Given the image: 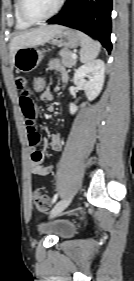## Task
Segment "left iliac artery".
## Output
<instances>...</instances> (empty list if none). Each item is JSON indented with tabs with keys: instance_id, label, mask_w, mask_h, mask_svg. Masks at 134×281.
Listing matches in <instances>:
<instances>
[{
	"instance_id": "left-iliac-artery-1",
	"label": "left iliac artery",
	"mask_w": 134,
	"mask_h": 281,
	"mask_svg": "<svg viewBox=\"0 0 134 281\" xmlns=\"http://www.w3.org/2000/svg\"><path fill=\"white\" fill-rule=\"evenodd\" d=\"M57 198H58V193H56V194L54 195V197H53V199H52V204H54V203L56 202Z\"/></svg>"
}]
</instances>
